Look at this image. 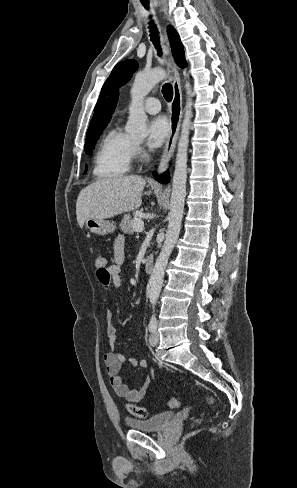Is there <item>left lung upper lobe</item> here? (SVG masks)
Instances as JSON below:
<instances>
[{"instance_id": "obj_1", "label": "left lung upper lobe", "mask_w": 297, "mask_h": 488, "mask_svg": "<svg viewBox=\"0 0 297 488\" xmlns=\"http://www.w3.org/2000/svg\"><path fill=\"white\" fill-rule=\"evenodd\" d=\"M167 33L172 47L173 57L175 58L177 65L181 68L186 67L185 54L178 33L172 26L167 27ZM137 68L138 64L135 60H125L118 63L113 68L108 79L105 81L95 109H97L106 95H108L112 90L126 84L131 79Z\"/></svg>"}]
</instances>
